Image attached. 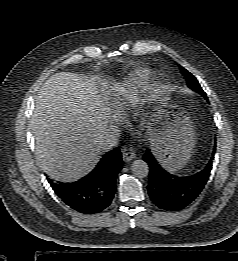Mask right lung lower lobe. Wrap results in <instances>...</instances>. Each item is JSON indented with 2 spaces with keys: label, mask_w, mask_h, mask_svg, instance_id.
Listing matches in <instances>:
<instances>
[{
  "label": "right lung lower lobe",
  "mask_w": 238,
  "mask_h": 261,
  "mask_svg": "<svg viewBox=\"0 0 238 261\" xmlns=\"http://www.w3.org/2000/svg\"><path fill=\"white\" fill-rule=\"evenodd\" d=\"M122 164L120 149L115 148L107 152L96 167L78 181H48L55 193L69 207L83 214H95L111 204L116 189V178Z\"/></svg>",
  "instance_id": "right-lung-lower-lobe-1"
}]
</instances>
